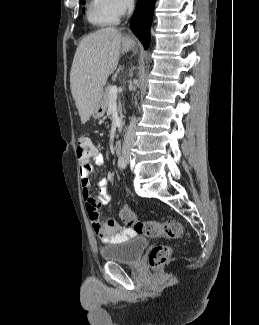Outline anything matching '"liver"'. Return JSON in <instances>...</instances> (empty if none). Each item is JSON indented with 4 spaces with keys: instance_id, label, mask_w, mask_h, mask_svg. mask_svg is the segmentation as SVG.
I'll list each match as a JSON object with an SVG mask.
<instances>
[{
    "instance_id": "obj_1",
    "label": "liver",
    "mask_w": 259,
    "mask_h": 325,
    "mask_svg": "<svg viewBox=\"0 0 259 325\" xmlns=\"http://www.w3.org/2000/svg\"><path fill=\"white\" fill-rule=\"evenodd\" d=\"M135 41L107 27L86 36L78 45L70 72V88L81 122L85 124L101 101L103 87L118 65L120 53L133 50Z\"/></svg>"
}]
</instances>
